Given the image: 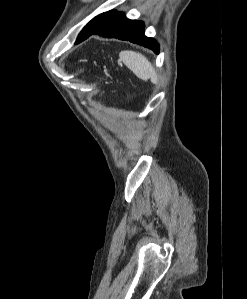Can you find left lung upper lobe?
I'll return each instance as SVG.
<instances>
[{
    "instance_id": "5c2ea615",
    "label": "left lung upper lobe",
    "mask_w": 247,
    "mask_h": 299,
    "mask_svg": "<svg viewBox=\"0 0 247 299\" xmlns=\"http://www.w3.org/2000/svg\"><path fill=\"white\" fill-rule=\"evenodd\" d=\"M114 13H115V11H108V12H104V13L96 16L95 18H93L80 32L76 42L79 41L85 34H87L88 32H90V31L94 30L96 27H98L101 23H103L106 19L111 17Z\"/></svg>"
}]
</instances>
